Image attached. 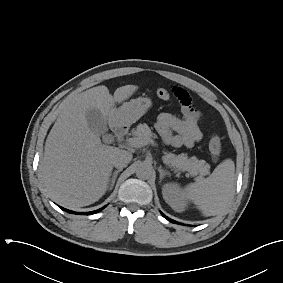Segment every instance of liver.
<instances>
[{"mask_svg":"<svg viewBox=\"0 0 283 283\" xmlns=\"http://www.w3.org/2000/svg\"><path fill=\"white\" fill-rule=\"evenodd\" d=\"M125 85L110 95L106 86L88 89L69 99L47 136L41 160V174L50 197L69 207H83L98 201L107 191L112 159L120 150L101 143L88 127L86 114L98 109L110 127L118 122L115 103L136 92Z\"/></svg>","mask_w":283,"mask_h":283,"instance_id":"obj_1","label":"liver"}]
</instances>
